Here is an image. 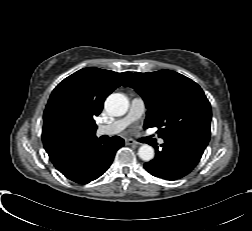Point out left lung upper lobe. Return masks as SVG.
Masks as SVG:
<instances>
[{"mask_svg":"<svg viewBox=\"0 0 252 231\" xmlns=\"http://www.w3.org/2000/svg\"><path fill=\"white\" fill-rule=\"evenodd\" d=\"M141 95L147 108L144 128L159 137L195 132L210 137L211 106L200 86L171 70L131 75L124 83Z\"/></svg>","mask_w":252,"mask_h":231,"instance_id":"5c2ea615","label":"left lung upper lobe"}]
</instances>
